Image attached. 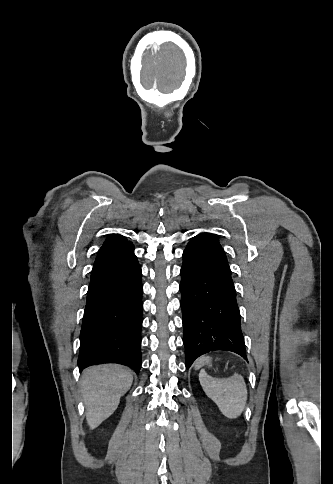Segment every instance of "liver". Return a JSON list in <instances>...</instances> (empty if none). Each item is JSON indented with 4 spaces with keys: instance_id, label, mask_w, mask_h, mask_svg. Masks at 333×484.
I'll return each mask as SVG.
<instances>
[{
    "instance_id": "obj_1",
    "label": "liver",
    "mask_w": 333,
    "mask_h": 484,
    "mask_svg": "<svg viewBox=\"0 0 333 484\" xmlns=\"http://www.w3.org/2000/svg\"><path fill=\"white\" fill-rule=\"evenodd\" d=\"M132 381V374L117 364L92 366L83 372L81 387L91 429L112 415Z\"/></svg>"
}]
</instances>
